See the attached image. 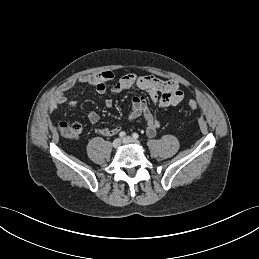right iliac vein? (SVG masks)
<instances>
[{
    "label": "right iliac vein",
    "instance_id": "63e3f726",
    "mask_svg": "<svg viewBox=\"0 0 259 259\" xmlns=\"http://www.w3.org/2000/svg\"><path fill=\"white\" fill-rule=\"evenodd\" d=\"M114 148H119L121 145V140L119 138L115 139L112 143Z\"/></svg>",
    "mask_w": 259,
    "mask_h": 259
}]
</instances>
